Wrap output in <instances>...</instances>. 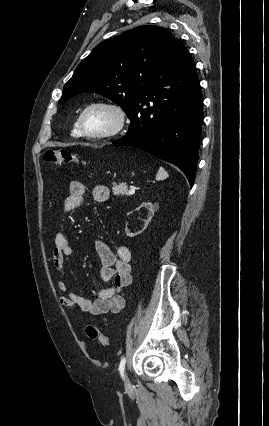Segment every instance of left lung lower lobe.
<instances>
[{"instance_id":"obj_1","label":"left lung lower lobe","mask_w":269,"mask_h":426,"mask_svg":"<svg viewBox=\"0 0 269 426\" xmlns=\"http://www.w3.org/2000/svg\"><path fill=\"white\" fill-rule=\"evenodd\" d=\"M127 133L113 144L145 150L179 167L192 187L203 121L195 63L176 39L127 114Z\"/></svg>"}]
</instances>
